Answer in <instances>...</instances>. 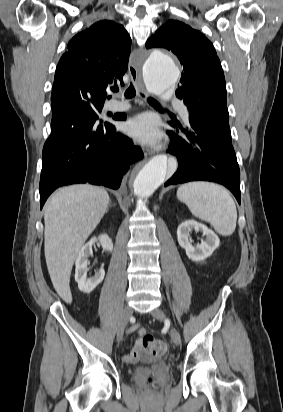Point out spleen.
Masks as SVG:
<instances>
[{"label": "spleen", "mask_w": 283, "mask_h": 412, "mask_svg": "<svg viewBox=\"0 0 283 412\" xmlns=\"http://www.w3.org/2000/svg\"><path fill=\"white\" fill-rule=\"evenodd\" d=\"M177 198L196 218L210 223L220 235L230 236L235 231L236 206L223 187L210 182H189L178 188Z\"/></svg>", "instance_id": "obj_1"}]
</instances>
